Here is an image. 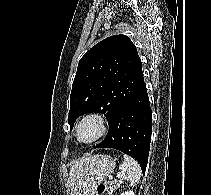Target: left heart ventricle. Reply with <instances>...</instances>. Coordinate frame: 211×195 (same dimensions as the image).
<instances>
[{"label": "left heart ventricle", "mask_w": 211, "mask_h": 195, "mask_svg": "<svg viewBox=\"0 0 211 195\" xmlns=\"http://www.w3.org/2000/svg\"><path fill=\"white\" fill-rule=\"evenodd\" d=\"M98 132V125L95 121H87L80 130V137L83 140L92 139Z\"/></svg>", "instance_id": "obj_1"}]
</instances>
